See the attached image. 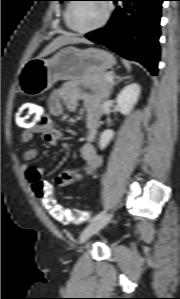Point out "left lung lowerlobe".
I'll return each instance as SVG.
<instances>
[{"mask_svg": "<svg viewBox=\"0 0 180 299\" xmlns=\"http://www.w3.org/2000/svg\"><path fill=\"white\" fill-rule=\"evenodd\" d=\"M117 5L106 27L86 35L156 75L160 55L161 4L164 0H111Z\"/></svg>", "mask_w": 180, "mask_h": 299, "instance_id": "0a47b994", "label": "left lung lower lobe"}]
</instances>
